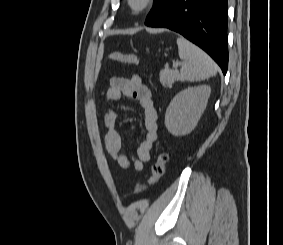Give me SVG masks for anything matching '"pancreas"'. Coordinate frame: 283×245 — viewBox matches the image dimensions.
I'll use <instances>...</instances> for the list:
<instances>
[{
  "label": "pancreas",
  "mask_w": 283,
  "mask_h": 245,
  "mask_svg": "<svg viewBox=\"0 0 283 245\" xmlns=\"http://www.w3.org/2000/svg\"><path fill=\"white\" fill-rule=\"evenodd\" d=\"M178 78L176 70L164 69L160 72V82L164 87H172V84Z\"/></svg>",
  "instance_id": "pancreas-1"
}]
</instances>
